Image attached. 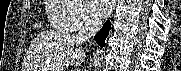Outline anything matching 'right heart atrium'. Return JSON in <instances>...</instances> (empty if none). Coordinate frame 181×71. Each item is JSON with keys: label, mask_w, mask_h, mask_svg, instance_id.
I'll use <instances>...</instances> for the list:
<instances>
[{"label": "right heart atrium", "mask_w": 181, "mask_h": 71, "mask_svg": "<svg viewBox=\"0 0 181 71\" xmlns=\"http://www.w3.org/2000/svg\"><path fill=\"white\" fill-rule=\"evenodd\" d=\"M64 6L65 26L67 30L76 31L94 26L98 19L83 0H54Z\"/></svg>", "instance_id": "1"}]
</instances>
